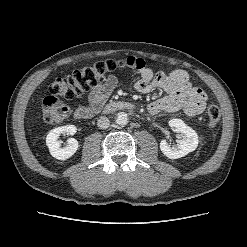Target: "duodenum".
I'll return each instance as SVG.
<instances>
[{"label":"duodenum","instance_id":"410a0bca","mask_svg":"<svg viewBox=\"0 0 247 247\" xmlns=\"http://www.w3.org/2000/svg\"><path fill=\"white\" fill-rule=\"evenodd\" d=\"M134 108V105L131 102L127 101H115L108 103L103 111L105 113H111V112H116V111H121V110H132Z\"/></svg>","mask_w":247,"mask_h":247}]
</instances>
